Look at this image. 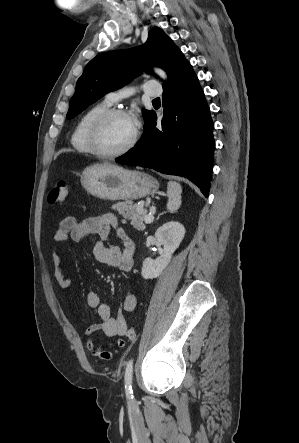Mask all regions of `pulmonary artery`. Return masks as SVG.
I'll list each match as a JSON object with an SVG mask.
<instances>
[{
	"instance_id": "1",
	"label": "pulmonary artery",
	"mask_w": 299,
	"mask_h": 443,
	"mask_svg": "<svg viewBox=\"0 0 299 443\" xmlns=\"http://www.w3.org/2000/svg\"><path fill=\"white\" fill-rule=\"evenodd\" d=\"M143 91L146 95L151 97H158L162 94V89L160 85L155 81L146 82L143 85ZM133 92V88L123 87L121 89L107 93V95L105 96V100L110 104H114L117 103L119 100L130 96L131 94H133Z\"/></svg>"
}]
</instances>
